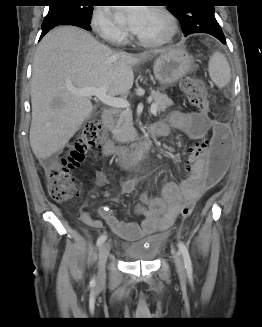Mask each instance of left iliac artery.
I'll return each instance as SVG.
<instances>
[{
	"label": "left iliac artery",
	"mask_w": 262,
	"mask_h": 327,
	"mask_svg": "<svg viewBox=\"0 0 262 327\" xmlns=\"http://www.w3.org/2000/svg\"><path fill=\"white\" fill-rule=\"evenodd\" d=\"M178 247H179V250L183 256V260H184V264H185V268H186V271L189 275L192 274V262H191V258H190V255H189V251H188V248L186 247V245L180 241L178 243Z\"/></svg>",
	"instance_id": "obj_1"
}]
</instances>
